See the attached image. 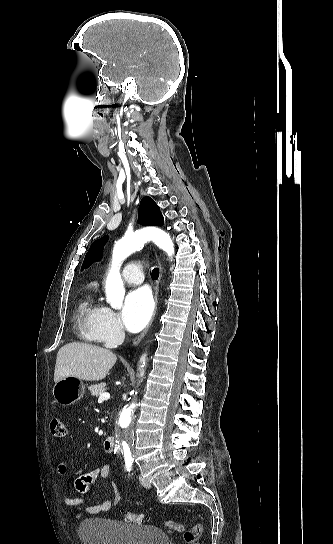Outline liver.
<instances>
[{
	"label": "liver",
	"instance_id": "liver-1",
	"mask_svg": "<svg viewBox=\"0 0 333 544\" xmlns=\"http://www.w3.org/2000/svg\"><path fill=\"white\" fill-rule=\"evenodd\" d=\"M116 360V355L108 349L82 342L68 343L57 353L54 382L68 376L85 381L102 380Z\"/></svg>",
	"mask_w": 333,
	"mask_h": 544
}]
</instances>
